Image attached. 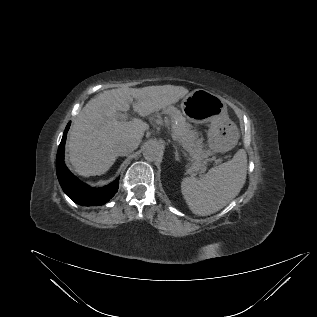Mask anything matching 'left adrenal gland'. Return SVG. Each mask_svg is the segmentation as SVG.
Returning <instances> with one entry per match:
<instances>
[{
    "label": "left adrenal gland",
    "mask_w": 317,
    "mask_h": 317,
    "mask_svg": "<svg viewBox=\"0 0 317 317\" xmlns=\"http://www.w3.org/2000/svg\"><path fill=\"white\" fill-rule=\"evenodd\" d=\"M173 147H174V149H175V159L176 160H179V153H178V150H177V146L175 145V144H173Z\"/></svg>",
    "instance_id": "1"
}]
</instances>
